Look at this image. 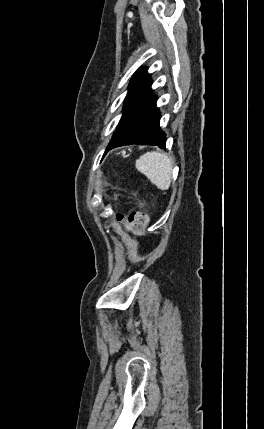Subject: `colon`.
I'll list each match as a JSON object with an SVG mask.
<instances>
[{
  "label": "colon",
  "instance_id": "colon-1",
  "mask_svg": "<svg viewBox=\"0 0 264 429\" xmlns=\"http://www.w3.org/2000/svg\"><path fill=\"white\" fill-rule=\"evenodd\" d=\"M118 220H123V216L120 215ZM148 220V215L143 211L132 212L128 217L129 226L136 233H141L143 231Z\"/></svg>",
  "mask_w": 264,
  "mask_h": 429
}]
</instances>
